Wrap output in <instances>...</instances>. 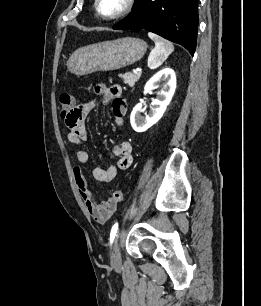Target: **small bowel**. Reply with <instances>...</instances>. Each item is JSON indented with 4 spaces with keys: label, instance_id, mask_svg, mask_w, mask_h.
Wrapping results in <instances>:
<instances>
[{
    "label": "small bowel",
    "instance_id": "c3829d8e",
    "mask_svg": "<svg viewBox=\"0 0 261 306\" xmlns=\"http://www.w3.org/2000/svg\"><path fill=\"white\" fill-rule=\"evenodd\" d=\"M96 98L78 105L74 110L68 114L64 120L68 128L67 140L77 146L82 147L88 139L86 118L89 113L94 110L97 105V99H100L102 104L107 105L112 103L113 118L118 126H122L124 115L126 113V106L122 99V87L120 85H113L110 87L97 86L95 88ZM114 153L118 157L115 164L109 166L107 169L95 167L92 171L93 177L103 183L112 181L121 170L128 169L132 162V145L128 141H123L115 146ZM75 157L79 165L74 166L73 173L79 194L84 202V205L90 216L98 223H106L116 212L117 202L112 198H108L101 202H97L86 181L85 175L82 171L81 165L89 161V153L79 148L75 151Z\"/></svg>",
    "mask_w": 261,
    "mask_h": 306
}]
</instances>
